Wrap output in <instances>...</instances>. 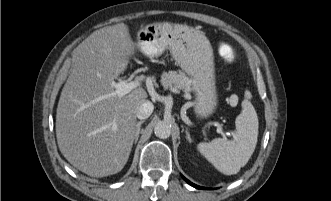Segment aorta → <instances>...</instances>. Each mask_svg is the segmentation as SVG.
Segmentation results:
<instances>
[{
  "instance_id": "obj_1",
  "label": "aorta",
  "mask_w": 331,
  "mask_h": 201,
  "mask_svg": "<svg viewBox=\"0 0 331 201\" xmlns=\"http://www.w3.org/2000/svg\"><path fill=\"white\" fill-rule=\"evenodd\" d=\"M155 135L161 139H166L171 135V125L166 121H159L154 128Z\"/></svg>"
}]
</instances>
